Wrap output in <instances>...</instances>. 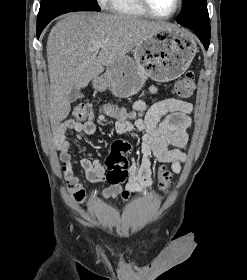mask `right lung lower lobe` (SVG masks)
Listing matches in <instances>:
<instances>
[{
    "label": "right lung lower lobe",
    "instance_id": "obj_1",
    "mask_svg": "<svg viewBox=\"0 0 247 280\" xmlns=\"http://www.w3.org/2000/svg\"><path fill=\"white\" fill-rule=\"evenodd\" d=\"M46 25H37V37L39 38L42 30L45 28Z\"/></svg>",
    "mask_w": 247,
    "mask_h": 280
}]
</instances>
